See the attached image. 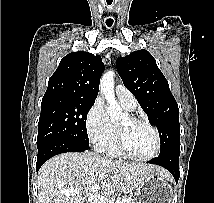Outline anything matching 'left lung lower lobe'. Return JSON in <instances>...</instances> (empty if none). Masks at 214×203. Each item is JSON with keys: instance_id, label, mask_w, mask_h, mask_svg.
<instances>
[{"instance_id": "left-lung-lower-lobe-1", "label": "left lung lower lobe", "mask_w": 214, "mask_h": 203, "mask_svg": "<svg viewBox=\"0 0 214 203\" xmlns=\"http://www.w3.org/2000/svg\"><path fill=\"white\" fill-rule=\"evenodd\" d=\"M179 151H171L163 155H159L158 158L148 161L150 164H156L166 168L175 178L176 183L179 180Z\"/></svg>"}]
</instances>
